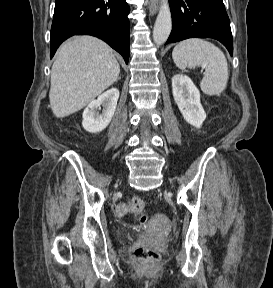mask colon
Returning <instances> with one entry per match:
<instances>
[{"label":"colon","mask_w":273,"mask_h":288,"mask_svg":"<svg viewBox=\"0 0 273 288\" xmlns=\"http://www.w3.org/2000/svg\"><path fill=\"white\" fill-rule=\"evenodd\" d=\"M129 206L131 212L137 216L141 223H145L147 221V215L145 214V202L141 198L133 197ZM131 256L148 265H154L159 259V254L156 251L144 247L135 248L131 252Z\"/></svg>","instance_id":"obj_1"}]
</instances>
